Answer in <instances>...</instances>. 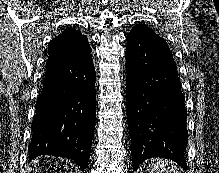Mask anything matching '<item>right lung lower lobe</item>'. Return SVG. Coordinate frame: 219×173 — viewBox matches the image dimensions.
Listing matches in <instances>:
<instances>
[{
    "mask_svg": "<svg viewBox=\"0 0 219 173\" xmlns=\"http://www.w3.org/2000/svg\"><path fill=\"white\" fill-rule=\"evenodd\" d=\"M46 68L31 125L29 159L61 156L74 160L84 170L88 167L96 118L91 52L63 66L48 59Z\"/></svg>",
    "mask_w": 219,
    "mask_h": 173,
    "instance_id": "98d812e1",
    "label": "right lung lower lobe"
}]
</instances>
